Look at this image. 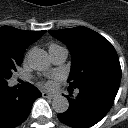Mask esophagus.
<instances>
[{
    "label": "esophagus",
    "instance_id": "obj_1",
    "mask_svg": "<svg viewBox=\"0 0 128 128\" xmlns=\"http://www.w3.org/2000/svg\"><path fill=\"white\" fill-rule=\"evenodd\" d=\"M42 96L44 98H50V99H52V98H55L56 97V94L44 91V92H42Z\"/></svg>",
    "mask_w": 128,
    "mask_h": 128
}]
</instances>
